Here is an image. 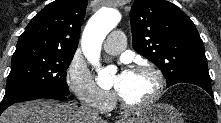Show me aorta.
Returning a JSON list of instances; mask_svg holds the SVG:
<instances>
[{
    "label": "aorta",
    "instance_id": "obj_1",
    "mask_svg": "<svg viewBox=\"0 0 221 123\" xmlns=\"http://www.w3.org/2000/svg\"><path fill=\"white\" fill-rule=\"evenodd\" d=\"M120 20L119 11L102 8L90 18L82 34L83 52L88 61L98 67L97 83L101 87L109 86L113 82V70L99 68L101 45L107 34L117 26Z\"/></svg>",
    "mask_w": 221,
    "mask_h": 123
}]
</instances>
